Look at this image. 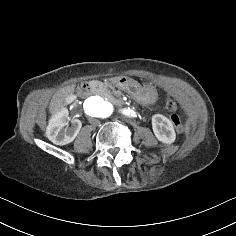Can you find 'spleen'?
Instances as JSON below:
<instances>
[{
    "label": "spleen",
    "mask_w": 236,
    "mask_h": 236,
    "mask_svg": "<svg viewBox=\"0 0 236 236\" xmlns=\"http://www.w3.org/2000/svg\"><path fill=\"white\" fill-rule=\"evenodd\" d=\"M189 133V130H186V134H188Z\"/></svg>",
    "instance_id": "3e777b00"
}]
</instances>
